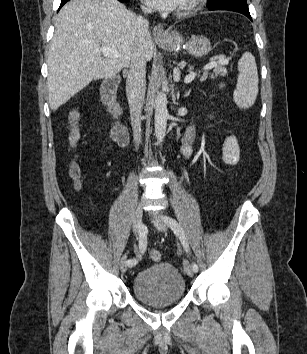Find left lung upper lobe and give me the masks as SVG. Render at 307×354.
I'll list each match as a JSON object with an SVG mask.
<instances>
[{
	"label": "left lung upper lobe",
	"mask_w": 307,
	"mask_h": 354,
	"mask_svg": "<svg viewBox=\"0 0 307 354\" xmlns=\"http://www.w3.org/2000/svg\"><path fill=\"white\" fill-rule=\"evenodd\" d=\"M215 6H238V7H248L246 0H208L207 7Z\"/></svg>",
	"instance_id": "obj_1"
}]
</instances>
